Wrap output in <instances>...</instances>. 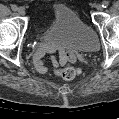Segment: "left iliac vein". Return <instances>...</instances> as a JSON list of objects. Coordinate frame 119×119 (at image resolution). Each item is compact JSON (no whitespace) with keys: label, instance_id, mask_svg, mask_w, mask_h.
Returning a JSON list of instances; mask_svg holds the SVG:
<instances>
[{"label":"left iliac vein","instance_id":"obj_1","mask_svg":"<svg viewBox=\"0 0 119 119\" xmlns=\"http://www.w3.org/2000/svg\"><path fill=\"white\" fill-rule=\"evenodd\" d=\"M96 9H97L98 11H102V10H103V7H102V5H97V6H96Z\"/></svg>","mask_w":119,"mask_h":119}]
</instances>
